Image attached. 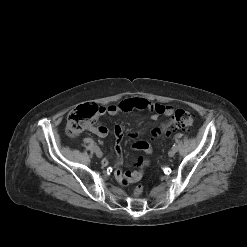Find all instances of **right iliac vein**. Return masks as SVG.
I'll return each instance as SVG.
<instances>
[{
  "label": "right iliac vein",
  "mask_w": 247,
  "mask_h": 247,
  "mask_svg": "<svg viewBox=\"0 0 247 247\" xmlns=\"http://www.w3.org/2000/svg\"><path fill=\"white\" fill-rule=\"evenodd\" d=\"M95 153L98 158H101L103 156V153L100 149L95 150Z\"/></svg>",
  "instance_id": "right-iliac-vein-1"
}]
</instances>
